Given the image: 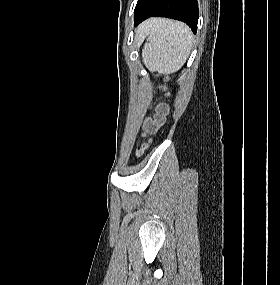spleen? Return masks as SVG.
I'll use <instances>...</instances> for the list:
<instances>
[{
	"label": "spleen",
	"instance_id": "spleen-1",
	"mask_svg": "<svg viewBox=\"0 0 280 285\" xmlns=\"http://www.w3.org/2000/svg\"><path fill=\"white\" fill-rule=\"evenodd\" d=\"M142 30L148 34L142 57L149 70L168 74L182 67L193 42L192 33L185 24L169 19H152Z\"/></svg>",
	"mask_w": 280,
	"mask_h": 285
}]
</instances>
